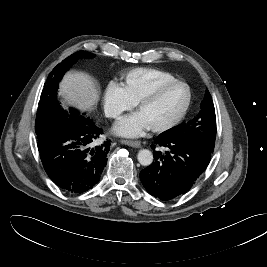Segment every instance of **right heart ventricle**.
Wrapping results in <instances>:
<instances>
[{"label": "right heart ventricle", "mask_w": 267, "mask_h": 267, "mask_svg": "<svg viewBox=\"0 0 267 267\" xmlns=\"http://www.w3.org/2000/svg\"><path fill=\"white\" fill-rule=\"evenodd\" d=\"M123 87L129 98L134 102L159 84L175 79V77L163 70L154 68H135L122 74Z\"/></svg>", "instance_id": "right-heart-ventricle-1"}]
</instances>
